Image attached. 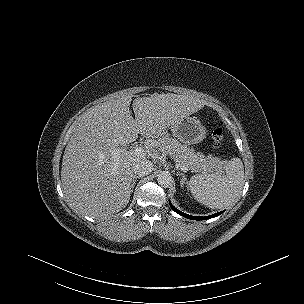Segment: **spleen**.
Masks as SVG:
<instances>
[{"label":"spleen","instance_id":"3e777b00","mask_svg":"<svg viewBox=\"0 0 304 304\" xmlns=\"http://www.w3.org/2000/svg\"><path fill=\"white\" fill-rule=\"evenodd\" d=\"M244 185V166L240 158L231 159L224 170L214 174H197L189 181V188L199 203L212 209L229 206Z\"/></svg>","mask_w":304,"mask_h":304}]
</instances>
